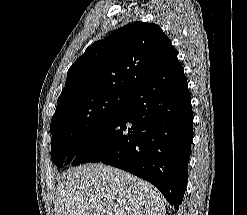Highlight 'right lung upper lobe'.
Segmentation results:
<instances>
[{"label": "right lung upper lobe", "mask_w": 247, "mask_h": 215, "mask_svg": "<svg viewBox=\"0 0 247 215\" xmlns=\"http://www.w3.org/2000/svg\"><path fill=\"white\" fill-rule=\"evenodd\" d=\"M153 23L133 22L90 45L70 67L57 105L100 92L132 94L151 79L175 52Z\"/></svg>", "instance_id": "1"}]
</instances>
